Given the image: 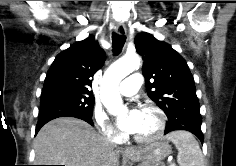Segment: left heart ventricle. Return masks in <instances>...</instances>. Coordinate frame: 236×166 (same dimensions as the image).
Returning a JSON list of instances; mask_svg holds the SVG:
<instances>
[{"mask_svg": "<svg viewBox=\"0 0 236 166\" xmlns=\"http://www.w3.org/2000/svg\"><path fill=\"white\" fill-rule=\"evenodd\" d=\"M158 125L157 117L152 111H141V125L135 135L148 136L152 134Z\"/></svg>", "mask_w": 236, "mask_h": 166, "instance_id": "obj_1", "label": "left heart ventricle"}]
</instances>
